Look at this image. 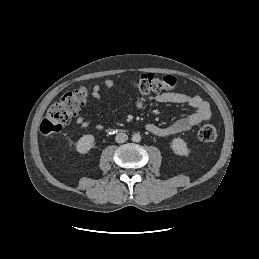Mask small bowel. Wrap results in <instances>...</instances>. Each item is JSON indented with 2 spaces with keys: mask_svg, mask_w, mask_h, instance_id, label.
Segmentation results:
<instances>
[{
  "mask_svg": "<svg viewBox=\"0 0 259 259\" xmlns=\"http://www.w3.org/2000/svg\"><path fill=\"white\" fill-rule=\"evenodd\" d=\"M104 85L108 90H111L114 87V81L111 79H106ZM92 94L95 98L101 99V87L99 85H95L93 87ZM147 100H153L159 103L187 105L194 109L191 114L166 126H159L153 123L147 124L146 130L159 137H168L188 131L201 122L209 120L211 117L209 103L197 95H191L183 92H164L147 97L139 96L135 99V106L137 108H142ZM75 121L82 128H87L89 126V121L84 116H76ZM97 129H102V126L97 125Z\"/></svg>",
  "mask_w": 259,
  "mask_h": 259,
  "instance_id": "small-bowel-1",
  "label": "small bowel"
}]
</instances>
